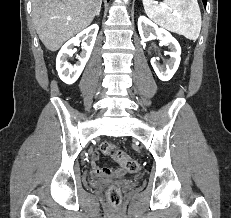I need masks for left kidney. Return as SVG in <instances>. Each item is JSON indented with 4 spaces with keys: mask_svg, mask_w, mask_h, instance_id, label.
I'll list each match as a JSON object with an SVG mask.
<instances>
[{
    "mask_svg": "<svg viewBox=\"0 0 231 218\" xmlns=\"http://www.w3.org/2000/svg\"><path fill=\"white\" fill-rule=\"evenodd\" d=\"M138 30L142 41L146 42L152 40L155 34L163 44L170 48V52L168 53L170 59L168 60L166 69L161 67L155 58L151 59V65L158 78L162 81L170 80L177 71L181 60V47L178 41L171 35V33L163 28H159L154 22L145 16L139 17Z\"/></svg>",
    "mask_w": 231,
    "mask_h": 218,
    "instance_id": "obj_1",
    "label": "left kidney"
}]
</instances>
